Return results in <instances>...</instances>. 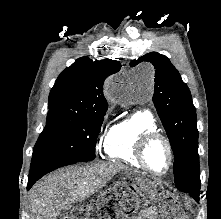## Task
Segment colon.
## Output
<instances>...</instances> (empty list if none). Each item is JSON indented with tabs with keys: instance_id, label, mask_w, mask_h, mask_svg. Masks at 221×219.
<instances>
[{
	"instance_id": "obj_1",
	"label": "colon",
	"mask_w": 221,
	"mask_h": 219,
	"mask_svg": "<svg viewBox=\"0 0 221 219\" xmlns=\"http://www.w3.org/2000/svg\"><path fill=\"white\" fill-rule=\"evenodd\" d=\"M140 206L146 207L152 199H146V194L141 193L139 196ZM119 201H123L124 210L132 213L137 208H132L135 205V197L133 194L126 191L124 188H116L115 190L107 191L97 200L88 205L74 208L66 216L61 219H110L115 217V212L118 210ZM159 212L162 214V219H189L187 214L182 210H172L170 205L165 200H158Z\"/></svg>"
}]
</instances>
